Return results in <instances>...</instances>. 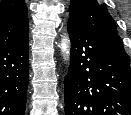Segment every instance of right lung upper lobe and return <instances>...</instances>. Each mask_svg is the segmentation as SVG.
<instances>
[{"instance_id":"cb5924a9","label":"right lung upper lobe","mask_w":131,"mask_h":115,"mask_svg":"<svg viewBox=\"0 0 131 115\" xmlns=\"http://www.w3.org/2000/svg\"><path fill=\"white\" fill-rule=\"evenodd\" d=\"M27 36L28 18L24 0L0 2V49L17 44Z\"/></svg>"}]
</instances>
